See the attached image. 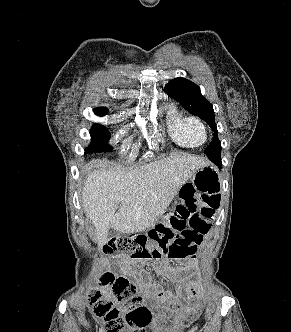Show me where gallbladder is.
Segmentation results:
<instances>
[{"label":"gallbladder","instance_id":"gallbladder-1","mask_svg":"<svg viewBox=\"0 0 291 332\" xmlns=\"http://www.w3.org/2000/svg\"><path fill=\"white\" fill-rule=\"evenodd\" d=\"M118 235V232L113 229L112 227H110L108 229V238H113V237H116Z\"/></svg>","mask_w":291,"mask_h":332}]
</instances>
